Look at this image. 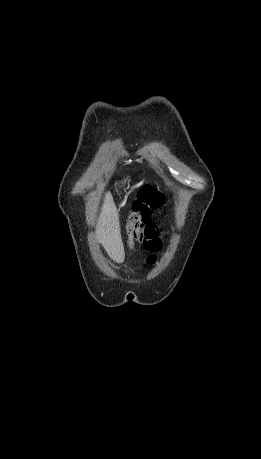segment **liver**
Wrapping results in <instances>:
<instances>
[{
    "label": "liver",
    "mask_w": 261,
    "mask_h": 459,
    "mask_svg": "<svg viewBox=\"0 0 261 459\" xmlns=\"http://www.w3.org/2000/svg\"><path fill=\"white\" fill-rule=\"evenodd\" d=\"M96 234L110 258L117 263H122L124 260L123 244L117 229L110 221L107 207H105L101 220L98 223Z\"/></svg>",
    "instance_id": "6515ba94"
}]
</instances>
